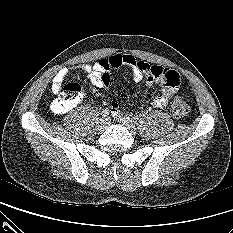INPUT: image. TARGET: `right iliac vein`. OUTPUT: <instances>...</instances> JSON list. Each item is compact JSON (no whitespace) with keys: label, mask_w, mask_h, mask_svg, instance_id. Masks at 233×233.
Listing matches in <instances>:
<instances>
[{"label":"right iliac vein","mask_w":233,"mask_h":233,"mask_svg":"<svg viewBox=\"0 0 233 233\" xmlns=\"http://www.w3.org/2000/svg\"><path fill=\"white\" fill-rule=\"evenodd\" d=\"M109 125V120L106 117H102L98 121V128L100 130H104L108 127Z\"/></svg>","instance_id":"obj_1"}]
</instances>
